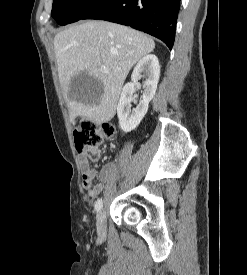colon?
<instances>
[{"instance_id":"obj_1","label":"colon","mask_w":247,"mask_h":275,"mask_svg":"<svg viewBox=\"0 0 247 275\" xmlns=\"http://www.w3.org/2000/svg\"><path fill=\"white\" fill-rule=\"evenodd\" d=\"M115 127L111 124H97L92 121H83L74 130L76 149L85 152L90 160L100 158L99 146L105 139L114 138Z\"/></svg>"}]
</instances>
